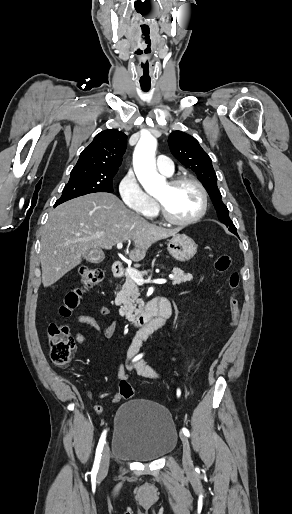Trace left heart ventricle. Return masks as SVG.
Instances as JSON below:
<instances>
[{"label":"left heart ventricle","mask_w":292,"mask_h":514,"mask_svg":"<svg viewBox=\"0 0 292 514\" xmlns=\"http://www.w3.org/2000/svg\"><path fill=\"white\" fill-rule=\"evenodd\" d=\"M153 197L162 203L171 217L178 220L191 218L197 213L200 206L197 190L188 184L175 188L166 184Z\"/></svg>","instance_id":"1"}]
</instances>
